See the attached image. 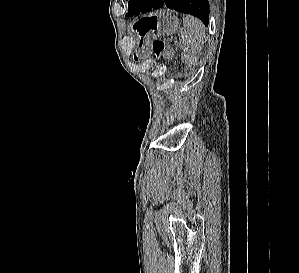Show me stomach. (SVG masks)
Returning a JSON list of instances; mask_svg holds the SVG:
<instances>
[{
	"label": "stomach",
	"mask_w": 299,
	"mask_h": 273,
	"mask_svg": "<svg viewBox=\"0 0 299 273\" xmlns=\"http://www.w3.org/2000/svg\"><path fill=\"white\" fill-rule=\"evenodd\" d=\"M179 26L178 19L171 13L159 12L152 13L140 19L134 29L138 32L140 38V47L144 49L149 45L155 34L170 35L174 33Z\"/></svg>",
	"instance_id": "1"
}]
</instances>
